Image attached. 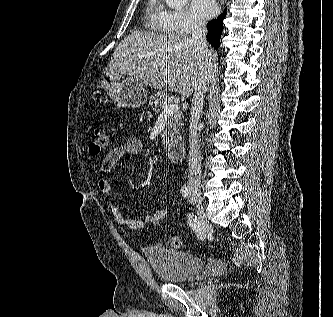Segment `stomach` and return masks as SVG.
I'll list each match as a JSON object with an SVG mask.
<instances>
[{"mask_svg":"<svg viewBox=\"0 0 333 317\" xmlns=\"http://www.w3.org/2000/svg\"><path fill=\"white\" fill-rule=\"evenodd\" d=\"M120 75H105L98 81L117 107L138 108L147 101V92L143 83L133 77L120 81Z\"/></svg>","mask_w":333,"mask_h":317,"instance_id":"stomach-1","label":"stomach"}]
</instances>
